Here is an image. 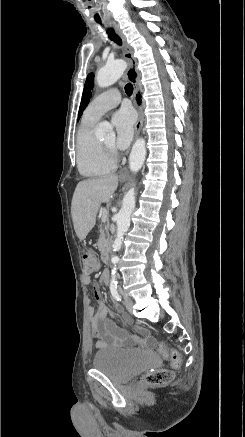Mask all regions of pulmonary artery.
I'll return each mask as SVG.
<instances>
[{"label": "pulmonary artery", "mask_w": 245, "mask_h": 437, "mask_svg": "<svg viewBox=\"0 0 245 437\" xmlns=\"http://www.w3.org/2000/svg\"><path fill=\"white\" fill-rule=\"evenodd\" d=\"M121 101V94L117 89L107 90L95 97L85 110L84 115L99 119L105 112L116 107Z\"/></svg>", "instance_id": "1"}]
</instances>
